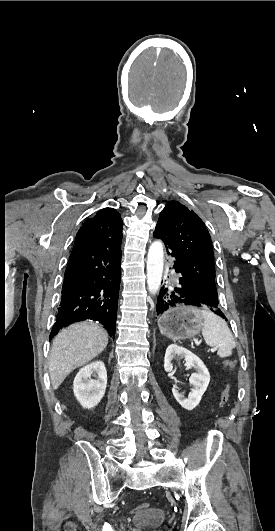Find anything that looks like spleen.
Instances as JSON below:
<instances>
[{"instance_id": "1", "label": "spleen", "mask_w": 275, "mask_h": 531, "mask_svg": "<svg viewBox=\"0 0 275 531\" xmlns=\"http://www.w3.org/2000/svg\"><path fill=\"white\" fill-rule=\"evenodd\" d=\"M200 313L203 317L202 335L206 345L215 347L218 357H230L236 343L225 319H221L219 315L208 309Z\"/></svg>"}]
</instances>
